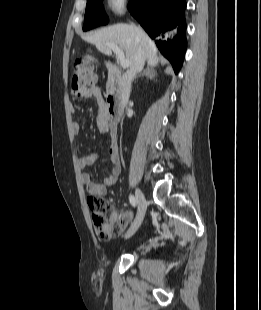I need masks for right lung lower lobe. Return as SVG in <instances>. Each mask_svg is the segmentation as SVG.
Instances as JSON below:
<instances>
[{
	"label": "right lung lower lobe",
	"mask_w": 261,
	"mask_h": 310,
	"mask_svg": "<svg viewBox=\"0 0 261 310\" xmlns=\"http://www.w3.org/2000/svg\"><path fill=\"white\" fill-rule=\"evenodd\" d=\"M185 0H130L128 9L161 53L172 63L175 73L182 66L186 50Z\"/></svg>",
	"instance_id": "98d812e1"
}]
</instances>
